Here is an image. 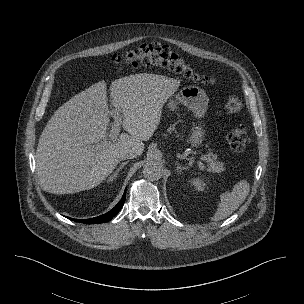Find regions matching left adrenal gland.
<instances>
[{
  "label": "left adrenal gland",
  "mask_w": 304,
  "mask_h": 304,
  "mask_svg": "<svg viewBox=\"0 0 304 304\" xmlns=\"http://www.w3.org/2000/svg\"><path fill=\"white\" fill-rule=\"evenodd\" d=\"M176 165L177 172H181L182 170L186 169V167L182 166L178 161L176 162Z\"/></svg>",
  "instance_id": "1"
}]
</instances>
